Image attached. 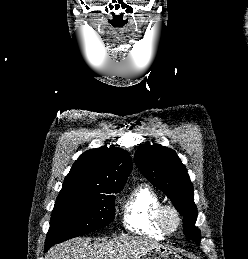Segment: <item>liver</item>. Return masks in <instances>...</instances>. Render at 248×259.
Listing matches in <instances>:
<instances>
[{"label":"liver","mask_w":248,"mask_h":259,"mask_svg":"<svg viewBox=\"0 0 248 259\" xmlns=\"http://www.w3.org/2000/svg\"><path fill=\"white\" fill-rule=\"evenodd\" d=\"M157 246L161 245L137 236H120L94 243L89 238H75L53 246L46 259H139Z\"/></svg>","instance_id":"1"}]
</instances>
